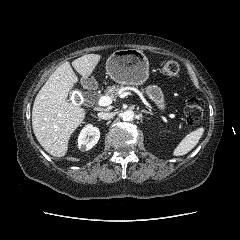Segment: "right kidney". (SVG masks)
I'll return each mask as SVG.
<instances>
[{"mask_svg": "<svg viewBox=\"0 0 240 240\" xmlns=\"http://www.w3.org/2000/svg\"><path fill=\"white\" fill-rule=\"evenodd\" d=\"M100 138V131L97 127L86 125L78 136V148L81 150H90Z\"/></svg>", "mask_w": 240, "mask_h": 240, "instance_id": "1", "label": "right kidney"}]
</instances>
